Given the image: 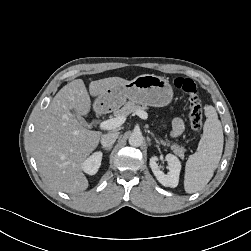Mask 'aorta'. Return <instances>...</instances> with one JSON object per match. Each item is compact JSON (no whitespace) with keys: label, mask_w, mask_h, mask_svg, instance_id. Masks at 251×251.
<instances>
[{"label":"aorta","mask_w":251,"mask_h":251,"mask_svg":"<svg viewBox=\"0 0 251 251\" xmlns=\"http://www.w3.org/2000/svg\"><path fill=\"white\" fill-rule=\"evenodd\" d=\"M143 135L141 132H133L129 137V144L133 147H139L143 144Z\"/></svg>","instance_id":"obj_1"}]
</instances>
